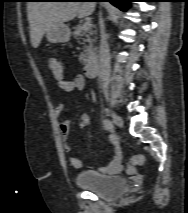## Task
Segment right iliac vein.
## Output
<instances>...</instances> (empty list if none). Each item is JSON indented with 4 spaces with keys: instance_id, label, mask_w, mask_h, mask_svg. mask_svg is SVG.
<instances>
[{
    "instance_id": "1",
    "label": "right iliac vein",
    "mask_w": 188,
    "mask_h": 213,
    "mask_svg": "<svg viewBox=\"0 0 188 213\" xmlns=\"http://www.w3.org/2000/svg\"><path fill=\"white\" fill-rule=\"evenodd\" d=\"M110 115H111V117H112V119H113V122L118 126V127H120V128H122L123 127V120H122V118L119 116V115H117L114 111H112V110H110Z\"/></svg>"
}]
</instances>
